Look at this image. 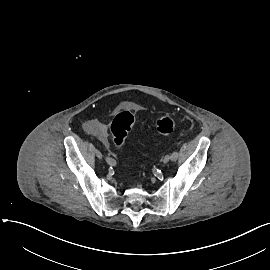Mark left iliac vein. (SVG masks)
Listing matches in <instances>:
<instances>
[{"instance_id":"1","label":"left iliac vein","mask_w":270,"mask_h":270,"mask_svg":"<svg viewBox=\"0 0 270 270\" xmlns=\"http://www.w3.org/2000/svg\"><path fill=\"white\" fill-rule=\"evenodd\" d=\"M171 159V156L170 155H166L163 159V163L166 164L169 162V160Z\"/></svg>"}]
</instances>
